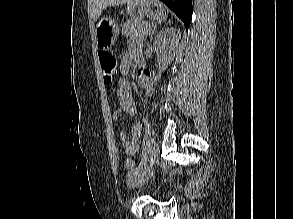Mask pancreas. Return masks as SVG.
Listing matches in <instances>:
<instances>
[{
	"label": "pancreas",
	"instance_id": "pancreas-1",
	"mask_svg": "<svg viewBox=\"0 0 293 219\" xmlns=\"http://www.w3.org/2000/svg\"><path fill=\"white\" fill-rule=\"evenodd\" d=\"M156 25L142 20L128 19L122 32L128 37H144L153 33Z\"/></svg>",
	"mask_w": 293,
	"mask_h": 219
}]
</instances>
